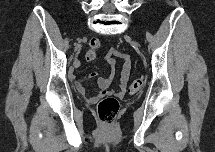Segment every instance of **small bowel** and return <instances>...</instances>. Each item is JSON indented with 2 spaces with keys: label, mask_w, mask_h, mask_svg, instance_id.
<instances>
[{
  "label": "small bowel",
  "mask_w": 215,
  "mask_h": 152,
  "mask_svg": "<svg viewBox=\"0 0 215 152\" xmlns=\"http://www.w3.org/2000/svg\"><path fill=\"white\" fill-rule=\"evenodd\" d=\"M113 55L119 56L123 60L122 69L118 80V89L116 91H112V92L108 91L110 85L114 80L113 74H111L107 78L100 77L97 72H91L89 74L90 78L96 79L97 87L99 89V92L96 95H88L86 92L85 86L83 84V81L80 79H77L74 75L71 76L75 89L91 103L97 102L101 97H103L107 93H112L118 97H123L125 94V90H126L129 75H130L132 60L129 54L122 53L116 49H112L106 55L107 62L112 69H114L117 66V61L114 57H112Z\"/></svg>",
  "instance_id": "obj_1"
}]
</instances>
